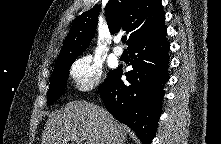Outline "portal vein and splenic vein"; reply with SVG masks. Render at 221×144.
<instances>
[{"instance_id":"portal-vein-and-splenic-vein-1","label":"portal vein and splenic vein","mask_w":221,"mask_h":144,"mask_svg":"<svg viewBox=\"0 0 221 144\" xmlns=\"http://www.w3.org/2000/svg\"><path fill=\"white\" fill-rule=\"evenodd\" d=\"M72 139H73L74 141H76L77 144H81V142H82V140H81L80 138H77V137H73ZM72 139H71V140H72Z\"/></svg>"}]
</instances>
